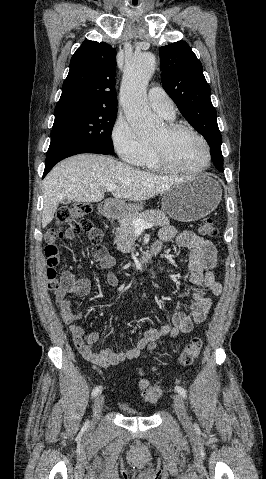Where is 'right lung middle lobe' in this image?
I'll list each match as a JSON object with an SVG mask.
<instances>
[{"mask_svg": "<svg viewBox=\"0 0 266 479\" xmlns=\"http://www.w3.org/2000/svg\"><path fill=\"white\" fill-rule=\"evenodd\" d=\"M117 110H73L55 114L51 142L98 148L114 154L111 133Z\"/></svg>", "mask_w": 266, "mask_h": 479, "instance_id": "obj_1", "label": "right lung middle lobe"}]
</instances>
